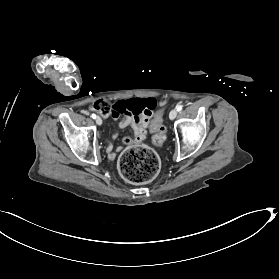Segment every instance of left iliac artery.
Here are the masks:
<instances>
[{
  "label": "left iliac artery",
  "instance_id": "1",
  "mask_svg": "<svg viewBox=\"0 0 279 279\" xmlns=\"http://www.w3.org/2000/svg\"><path fill=\"white\" fill-rule=\"evenodd\" d=\"M176 109H177L178 112H180V111L182 110V106L178 105V106L176 107Z\"/></svg>",
  "mask_w": 279,
  "mask_h": 279
}]
</instances>
